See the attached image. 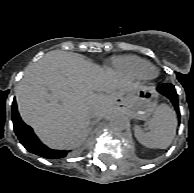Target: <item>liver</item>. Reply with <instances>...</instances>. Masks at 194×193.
Returning <instances> with one entry per match:
<instances>
[{"label": "liver", "mask_w": 194, "mask_h": 193, "mask_svg": "<svg viewBox=\"0 0 194 193\" xmlns=\"http://www.w3.org/2000/svg\"><path fill=\"white\" fill-rule=\"evenodd\" d=\"M141 88L79 54L54 50L27 67L15 95L23 121L42 142L69 149L78 145L91 118L121 110L118 100Z\"/></svg>", "instance_id": "6515ba94"}]
</instances>
